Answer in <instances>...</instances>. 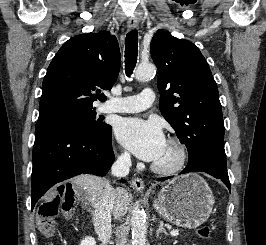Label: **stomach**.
<instances>
[{"instance_id": "obj_1", "label": "stomach", "mask_w": 266, "mask_h": 245, "mask_svg": "<svg viewBox=\"0 0 266 245\" xmlns=\"http://www.w3.org/2000/svg\"><path fill=\"white\" fill-rule=\"evenodd\" d=\"M214 203L208 183L196 173H189L163 187L153 207L165 221L183 229H197L209 219Z\"/></svg>"}]
</instances>
